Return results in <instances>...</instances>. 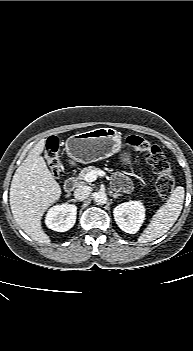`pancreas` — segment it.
<instances>
[{"mask_svg":"<svg viewBox=\"0 0 193 351\" xmlns=\"http://www.w3.org/2000/svg\"><path fill=\"white\" fill-rule=\"evenodd\" d=\"M99 168H96L94 166H88L85 167L81 170V172L78 174L77 180L82 181L85 180V175L91 171H98Z\"/></svg>","mask_w":193,"mask_h":351,"instance_id":"cf45deb5","label":"pancreas"}]
</instances>
